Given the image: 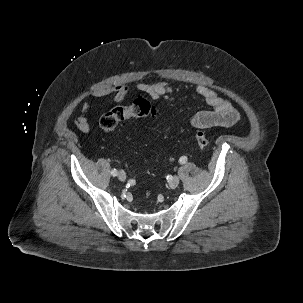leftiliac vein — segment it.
Masks as SVG:
<instances>
[{"label": "left iliac vein", "instance_id": "left-iliac-vein-1", "mask_svg": "<svg viewBox=\"0 0 303 303\" xmlns=\"http://www.w3.org/2000/svg\"><path fill=\"white\" fill-rule=\"evenodd\" d=\"M180 179L177 175L173 176L169 181V187L175 189L179 185Z\"/></svg>", "mask_w": 303, "mask_h": 303}]
</instances>
